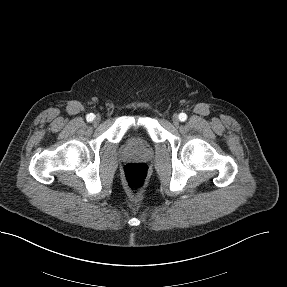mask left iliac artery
<instances>
[{
  "mask_svg": "<svg viewBox=\"0 0 287 287\" xmlns=\"http://www.w3.org/2000/svg\"><path fill=\"white\" fill-rule=\"evenodd\" d=\"M179 119H180V121H185L187 119V115L185 113H180Z\"/></svg>",
  "mask_w": 287,
  "mask_h": 287,
  "instance_id": "obj_1",
  "label": "left iliac artery"
}]
</instances>
